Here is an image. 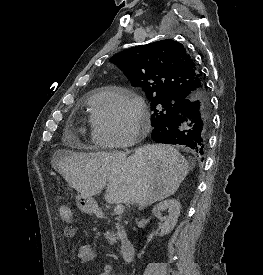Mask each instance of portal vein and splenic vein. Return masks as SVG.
Instances as JSON below:
<instances>
[{
  "label": "portal vein and splenic vein",
  "instance_id": "obj_1",
  "mask_svg": "<svg viewBox=\"0 0 263 275\" xmlns=\"http://www.w3.org/2000/svg\"><path fill=\"white\" fill-rule=\"evenodd\" d=\"M125 210V207L122 204H117L116 207L114 208V211L117 215L123 214Z\"/></svg>",
  "mask_w": 263,
  "mask_h": 275
}]
</instances>
